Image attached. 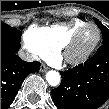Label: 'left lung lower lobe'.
<instances>
[{
  "label": "left lung lower lobe",
  "mask_w": 109,
  "mask_h": 109,
  "mask_svg": "<svg viewBox=\"0 0 109 109\" xmlns=\"http://www.w3.org/2000/svg\"><path fill=\"white\" fill-rule=\"evenodd\" d=\"M61 84L52 90L58 109H97L109 98V43L84 64L60 72Z\"/></svg>",
  "instance_id": "obj_1"
}]
</instances>
